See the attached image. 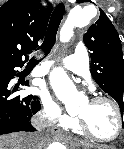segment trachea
<instances>
[{"label":"trachea","instance_id":"obj_1","mask_svg":"<svg viewBox=\"0 0 124 149\" xmlns=\"http://www.w3.org/2000/svg\"><path fill=\"white\" fill-rule=\"evenodd\" d=\"M64 12L65 6L62 3L58 4L54 9L47 28V34L45 38L46 42H54L58 27L61 23V20L63 19Z\"/></svg>","mask_w":124,"mask_h":149}]
</instances>
